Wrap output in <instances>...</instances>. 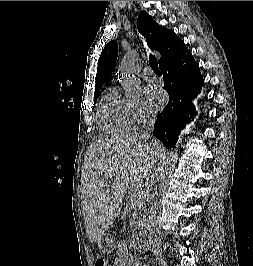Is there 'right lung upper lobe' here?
<instances>
[{"instance_id": "obj_1", "label": "right lung upper lobe", "mask_w": 253, "mask_h": 266, "mask_svg": "<svg viewBox=\"0 0 253 266\" xmlns=\"http://www.w3.org/2000/svg\"><path fill=\"white\" fill-rule=\"evenodd\" d=\"M137 28L148 41L150 48L161 54L158 60L160 66L172 61L186 49L184 42L173 31L157 24L146 11L139 13ZM117 55V42H109L99 58L94 97L99 96L103 84L109 80Z\"/></svg>"}]
</instances>
